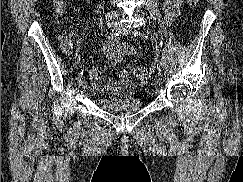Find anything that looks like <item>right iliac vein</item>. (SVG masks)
I'll return each instance as SVG.
<instances>
[{
	"label": "right iliac vein",
	"mask_w": 243,
	"mask_h": 182,
	"mask_svg": "<svg viewBox=\"0 0 243 182\" xmlns=\"http://www.w3.org/2000/svg\"><path fill=\"white\" fill-rule=\"evenodd\" d=\"M107 27H108V29H109L110 31H114V30L116 29V25H115L114 22H109V23L107 24ZM79 86H80L84 91L86 90V88H87V84H86L85 79H82V80L79 81Z\"/></svg>",
	"instance_id": "63e3f726"
}]
</instances>
